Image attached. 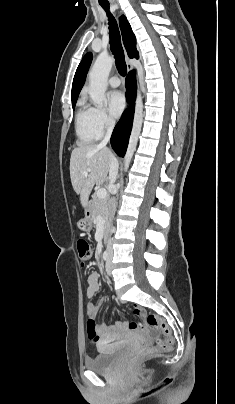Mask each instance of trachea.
<instances>
[{
	"mask_svg": "<svg viewBox=\"0 0 235 404\" xmlns=\"http://www.w3.org/2000/svg\"><path fill=\"white\" fill-rule=\"evenodd\" d=\"M101 6L107 12L109 20L110 49L115 58L116 68L121 76H125L127 73V66L125 63L124 51L121 45V37L117 22L109 12V4H101Z\"/></svg>",
	"mask_w": 235,
	"mask_h": 404,
	"instance_id": "trachea-1",
	"label": "trachea"
}]
</instances>
